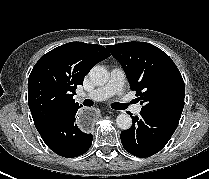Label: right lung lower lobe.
<instances>
[{
    "mask_svg": "<svg viewBox=\"0 0 209 179\" xmlns=\"http://www.w3.org/2000/svg\"><path fill=\"white\" fill-rule=\"evenodd\" d=\"M78 109L66 112L40 133L45 144L62 157L80 156L92 144V135L83 132L75 123Z\"/></svg>",
    "mask_w": 209,
    "mask_h": 179,
    "instance_id": "1",
    "label": "right lung lower lobe"
}]
</instances>
